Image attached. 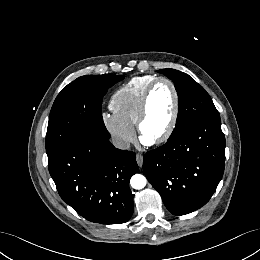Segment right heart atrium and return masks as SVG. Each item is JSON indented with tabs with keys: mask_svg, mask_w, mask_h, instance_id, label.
Listing matches in <instances>:
<instances>
[{
	"mask_svg": "<svg viewBox=\"0 0 260 260\" xmlns=\"http://www.w3.org/2000/svg\"><path fill=\"white\" fill-rule=\"evenodd\" d=\"M101 120L117 147L126 149L134 142L136 137L134 126L124 121L116 113L113 111L103 112Z\"/></svg>",
	"mask_w": 260,
	"mask_h": 260,
	"instance_id": "obj_1",
	"label": "right heart atrium"
}]
</instances>
